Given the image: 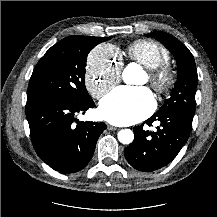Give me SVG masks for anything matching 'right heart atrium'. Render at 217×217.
Here are the masks:
<instances>
[{"mask_svg":"<svg viewBox=\"0 0 217 217\" xmlns=\"http://www.w3.org/2000/svg\"><path fill=\"white\" fill-rule=\"evenodd\" d=\"M122 63L117 49L109 44L96 46L89 54L85 85L96 99L103 97L120 79Z\"/></svg>","mask_w":217,"mask_h":217,"instance_id":"obj_1","label":"right heart atrium"}]
</instances>
